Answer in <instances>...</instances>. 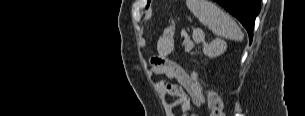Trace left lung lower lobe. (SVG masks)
I'll return each mask as SVG.
<instances>
[{"mask_svg":"<svg viewBox=\"0 0 305 116\" xmlns=\"http://www.w3.org/2000/svg\"><path fill=\"white\" fill-rule=\"evenodd\" d=\"M246 28L249 40L253 38L255 18L260 12V0H215Z\"/></svg>","mask_w":305,"mask_h":116,"instance_id":"0a47b994","label":"left lung lower lobe"}]
</instances>
